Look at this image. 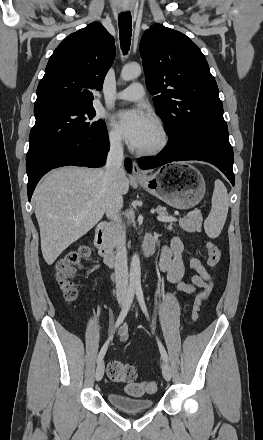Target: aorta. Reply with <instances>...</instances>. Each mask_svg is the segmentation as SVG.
<instances>
[{
	"mask_svg": "<svg viewBox=\"0 0 263 440\" xmlns=\"http://www.w3.org/2000/svg\"><path fill=\"white\" fill-rule=\"evenodd\" d=\"M141 74V66L139 64H127L122 68L121 79L130 81L136 79ZM130 284L134 287L141 286V267L138 254H134L130 265Z\"/></svg>",
	"mask_w": 263,
	"mask_h": 440,
	"instance_id": "1",
	"label": "aorta"
}]
</instances>
